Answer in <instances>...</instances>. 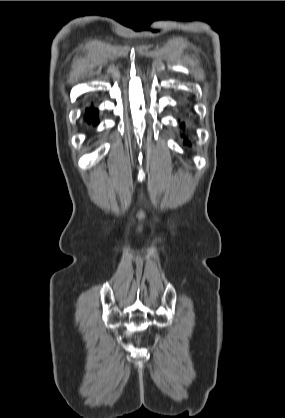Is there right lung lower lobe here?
I'll use <instances>...</instances> for the list:
<instances>
[{"label":"right lung lower lobe","mask_w":285,"mask_h":418,"mask_svg":"<svg viewBox=\"0 0 285 418\" xmlns=\"http://www.w3.org/2000/svg\"><path fill=\"white\" fill-rule=\"evenodd\" d=\"M84 121L93 126L98 124V109L94 107L93 102L85 109Z\"/></svg>","instance_id":"98d812e1"}]
</instances>
